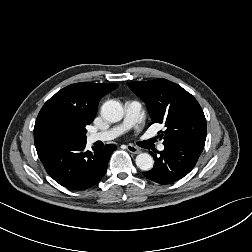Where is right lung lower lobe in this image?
<instances>
[{
	"label": "right lung lower lobe",
	"mask_w": 252,
	"mask_h": 252,
	"mask_svg": "<svg viewBox=\"0 0 252 252\" xmlns=\"http://www.w3.org/2000/svg\"><path fill=\"white\" fill-rule=\"evenodd\" d=\"M86 141L65 142L37 149L47 173L60 185L72 190L94 186L105 175L114 144L94 152L85 151Z\"/></svg>",
	"instance_id": "right-lung-lower-lobe-1"
}]
</instances>
